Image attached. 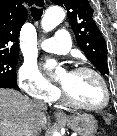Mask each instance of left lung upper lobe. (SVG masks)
<instances>
[{"label":"left lung upper lobe","instance_id":"obj_1","mask_svg":"<svg viewBox=\"0 0 117 136\" xmlns=\"http://www.w3.org/2000/svg\"><path fill=\"white\" fill-rule=\"evenodd\" d=\"M67 10L77 43L88 60L102 75L109 72L106 42L92 18L93 9L88 0H51Z\"/></svg>","mask_w":117,"mask_h":136}]
</instances>
